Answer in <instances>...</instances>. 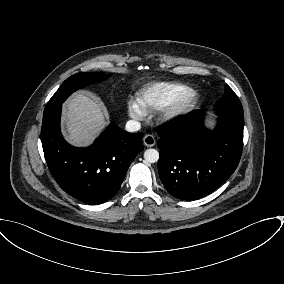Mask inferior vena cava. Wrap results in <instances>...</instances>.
<instances>
[{"label": "inferior vena cava", "mask_w": 284, "mask_h": 284, "mask_svg": "<svg viewBox=\"0 0 284 284\" xmlns=\"http://www.w3.org/2000/svg\"><path fill=\"white\" fill-rule=\"evenodd\" d=\"M140 128H141L140 122L135 120H129L125 126L126 131L131 133L140 130Z\"/></svg>", "instance_id": "1"}]
</instances>
